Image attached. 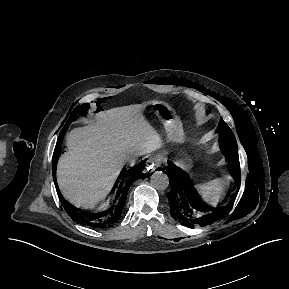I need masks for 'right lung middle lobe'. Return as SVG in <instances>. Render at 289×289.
Masks as SVG:
<instances>
[{"mask_svg": "<svg viewBox=\"0 0 289 289\" xmlns=\"http://www.w3.org/2000/svg\"><path fill=\"white\" fill-rule=\"evenodd\" d=\"M89 109V104L88 103H85V104H82L80 106H77L73 112L71 113L68 121L66 122L65 126L63 128H68L69 124L76 120L78 118V116L80 115H85L86 112L88 111ZM63 130V129H62Z\"/></svg>", "mask_w": 289, "mask_h": 289, "instance_id": "right-lung-middle-lobe-1", "label": "right lung middle lobe"}]
</instances>
